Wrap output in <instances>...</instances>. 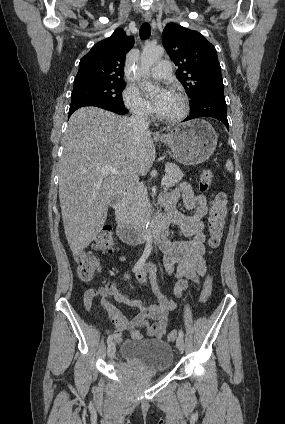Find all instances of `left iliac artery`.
Segmentation results:
<instances>
[{"instance_id":"44dca946","label":"left iliac artery","mask_w":285,"mask_h":424,"mask_svg":"<svg viewBox=\"0 0 285 424\" xmlns=\"http://www.w3.org/2000/svg\"><path fill=\"white\" fill-rule=\"evenodd\" d=\"M179 337L183 338L184 337V333L182 330H179Z\"/></svg>"}]
</instances>
